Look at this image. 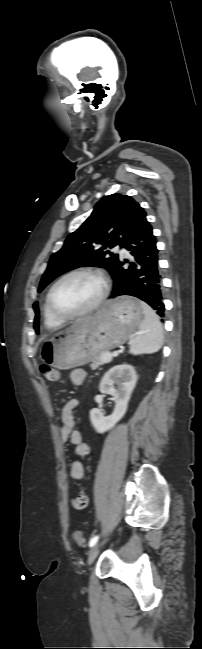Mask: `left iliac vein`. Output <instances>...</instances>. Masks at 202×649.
Segmentation results:
<instances>
[{
    "mask_svg": "<svg viewBox=\"0 0 202 649\" xmlns=\"http://www.w3.org/2000/svg\"><path fill=\"white\" fill-rule=\"evenodd\" d=\"M101 548V543H96L89 551L88 553V565H91L95 558L97 557L99 550Z\"/></svg>",
    "mask_w": 202,
    "mask_h": 649,
    "instance_id": "obj_1",
    "label": "left iliac vein"
}]
</instances>
